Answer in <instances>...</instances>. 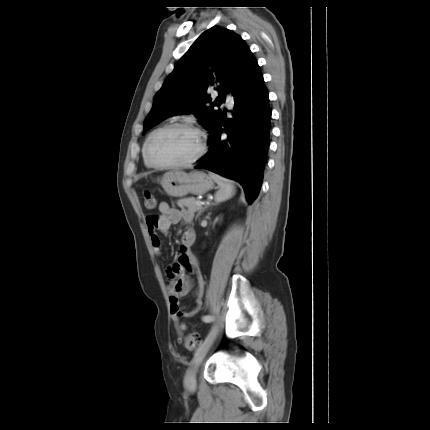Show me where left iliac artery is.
<instances>
[{
	"mask_svg": "<svg viewBox=\"0 0 430 430\" xmlns=\"http://www.w3.org/2000/svg\"><path fill=\"white\" fill-rule=\"evenodd\" d=\"M213 320H214V317L210 315H206L203 317V321L205 322H212Z\"/></svg>",
	"mask_w": 430,
	"mask_h": 430,
	"instance_id": "44dca946",
	"label": "left iliac artery"
}]
</instances>
